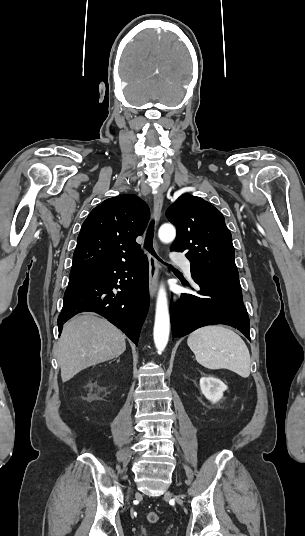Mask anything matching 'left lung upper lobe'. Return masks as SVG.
<instances>
[{
	"instance_id": "obj_1",
	"label": "left lung upper lobe",
	"mask_w": 305,
	"mask_h": 536,
	"mask_svg": "<svg viewBox=\"0 0 305 536\" xmlns=\"http://www.w3.org/2000/svg\"><path fill=\"white\" fill-rule=\"evenodd\" d=\"M166 216L177 230L170 250L186 252L192 276L239 280L232 236L218 209L187 193L168 208Z\"/></svg>"
}]
</instances>
